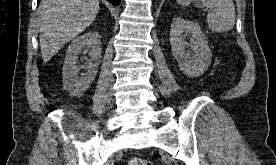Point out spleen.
Masks as SVG:
<instances>
[{
	"mask_svg": "<svg viewBox=\"0 0 276 165\" xmlns=\"http://www.w3.org/2000/svg\"><path fill=\"white\" fill-rule=\"evenodd\" d=\"M183 6L189 5L192 0H176ZM204 6L210 8L207 23L213 32L230 31L235 24V7L232 0H200Z\"/></svg>",
	"mask_w": 276,
	"mask_h": 165,
	"instance_id": "obj_1",
	"label": "spleen"
}]
</instances>
